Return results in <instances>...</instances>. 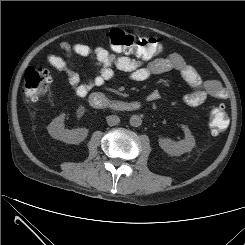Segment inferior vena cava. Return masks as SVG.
<instances>
[{"label": "inferior vena cava", "instance_id": "602c4592", "mask_svg": "<svg viewBox=\"0 0 245 245\" xmlns=\"http://www.w3.org/2000/svg\"><path fill=\"white\" fill-rule=\"evenodd\" d=\"M106 121L109 126H115L119 124L120 118L117 115H109L107 116Z\"/></svg>", "mask_w": 245, "mask_h": 245}]
</instances>
